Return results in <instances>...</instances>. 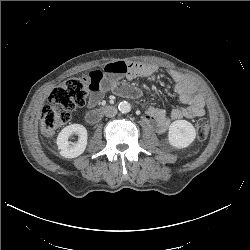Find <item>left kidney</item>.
I'll return each instance as SVG.
<instances>
[{
  "label": "left kidney",
  "mask_w": 250,
  "mask_h": 250,
  "mask_svg": "<svg viewBox=\"0 0 250 250\" xmlns=\"http://www.w3.org/2000/svg\"><path fill=\"white\" fill-rule=\"evenodd\" d=\"M195 137L194 126L186 120H176L169 126L168 141L177 149L188 147Z\"/></svg>",
  "instance_id": "1"
}]
</instances>
